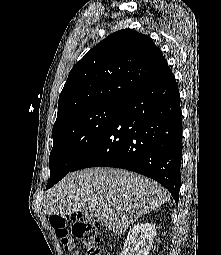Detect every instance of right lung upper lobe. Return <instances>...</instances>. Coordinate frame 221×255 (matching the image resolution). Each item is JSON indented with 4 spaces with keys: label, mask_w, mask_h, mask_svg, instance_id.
Instances as JSON below:
<instances>
[{
    "label": "right lung upper lobe",
    "mask_w": 221,
    "mask_h": 255,
    "mask_svg": "<svg viewBox=\"0 0 221 255\" xmlns=\"http://www.w3.org/2000/svg\"><path fill=\"white\" fill-rule=\"evenodd\" d=\"M167 66L147 35L130 29L112 33L70 71L59 96L55 124L84 108L121 103Z\"/></svg>",
    "instance_id": "obj_1"
}]
</instances>
